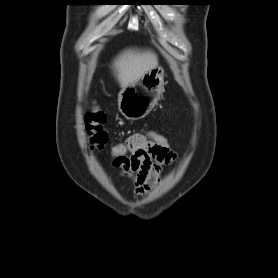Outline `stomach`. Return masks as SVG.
<instances>
[{"label":"stomach","mask_w":278,"mask_h":278,"mask_svg":"<svg viewBox=\"0 0 278 278\" xmlns=\"http://www.w3.org/2000/svg\"><path fill=\"white\" fill-rule=\"evenodd\" d=\"M164 87V69L155 67L140 79L122 88L118 108L128 120L144 118L159 101Z\"/></svg>","instance_id":"0dacf381"}]
</instances>
